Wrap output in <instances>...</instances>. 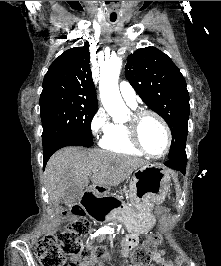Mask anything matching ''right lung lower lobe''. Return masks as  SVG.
<instances>
[{
  "label": "right lung lower lobe",
  "mask_w": 221,
  "mask_h": 266,
  "mask_svg": "<svg viewBox=\"0 0 221 266\" xmlns=\"http://www.w3.org/2000/svg\"><path fill=\"white\" fill-rule=\"evenodd\" d=\"M62 147H58V148H54V149H50L48 151H44V166L46 165L48 159L50 158V156L57 151L58 149H60Z\"/></svg>",
  "instance_id": "right-lung-lower-lobe-1"
}]
</instances>
